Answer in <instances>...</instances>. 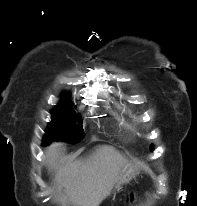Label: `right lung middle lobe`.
Instances as JSON below:
<instances>
[{
  "mask_svg": "<svg viewBox=\"0 0 197 206\" xmlns=\"http://www.w3.org/2000/svg\"><path fill=\"white\" fill-rule=\"evenodd\" d=\"M58 104L52 111V120L46 130L43 144L46 145L53 140H64L71 143H77L82 140L85 133L81 125H76L74 122L79 116L73 111L70 104L66 102Z\"/></svg>",
  "mask_w": 197,
  "mask_h": 206,
  "instance_id": "right-lung-middle-lobe-1",
  "label": "right lung middle lobe"
}]
</instances>
